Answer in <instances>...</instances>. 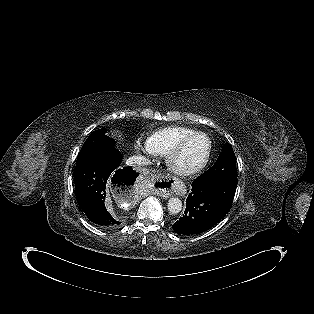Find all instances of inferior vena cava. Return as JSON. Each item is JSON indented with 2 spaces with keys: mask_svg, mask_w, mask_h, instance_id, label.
<instances>
[{
  "mask_svg": "<svg viewBox=\"0 0 314 314\" xmlns=\"http://www.w3.org/2000/svg\"><path fill=\"white\" fill-rule=\"evenodd\" d=\"M126 164L129 166L139 167L149 165L150 161L142 155H135L127 159Z\"/></svg>",
  "mask_w": 314,
  "mask_h": 314,
  "instance_id": "602c4592",
  "label": "inferior vena cava"
}]
</instances>
